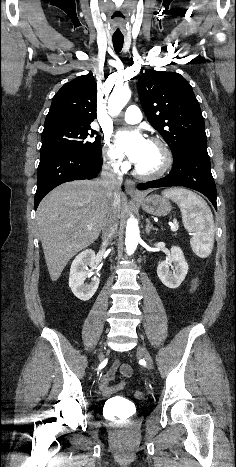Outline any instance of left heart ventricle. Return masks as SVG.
I'll use <instances>...</instances> for the list:
<instances>
[{
  "instance_id": "obj_1",
  "label": "left heart ventricle",
  "mask_w": 236,
  "mask_h": 467,
  "mask_svg": "<svg viewBox=\"0 0 236 467\" xmlns=\"http://www.w3.org/2000/svg\"><path fill=\"white\" fill-rule=\"evenodd\" d=\"M162 163V152L160 148L150 142H148L146 151L140 160L139 163H137V166L145 171V172H151L160 167Z\"/></svg>"
}]
</instances>
